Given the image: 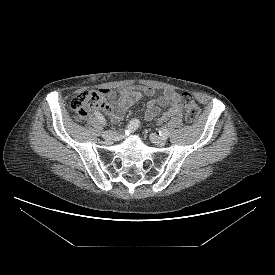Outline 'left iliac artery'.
Here are the masks:
<instances>
[{
    "label": "left iliac artery",
    "instance_id": "1",
    "mask_svg": "<svg viewBox=\"0 0 275 275\" xmlns=\"http://www.w3.org/2000/svg\"><path fill=\"white\" fill-rule=\"evenodd\" d=\"M169 131L165 128H162L160 131H159V135L162 136L163 138H167L169 136Z\"/></svg>",
    "mask_w": 275,
    "mask_h": 275
}]
</instances>
